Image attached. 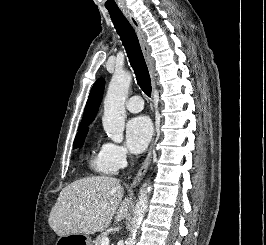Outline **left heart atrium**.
<instances>
[{
    "instance_id": "left-heart-atrium-1",
    "label": "left heart atrium",
    "mask_w": 266,
    "mask_h": 245,
    "mask_svg": "<svg viewBox=\"0 0 266 245\" xmlns=\"http://www.w3.org/2000/svg\"><path fill=\"white\" fill-rule=\"evenodd\" d=\"M151 136V123L144 116L135 117L126 124V144L133 153L142 152L149 143Z\"/></svg>"
}]
</instances>
